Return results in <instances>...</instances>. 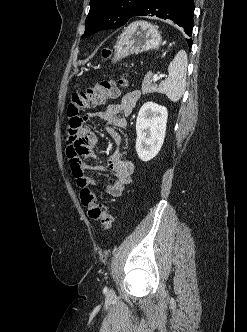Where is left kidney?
Returning a JSON list of instances; mask_svg holds the SVG:
<instances>
[{"label":"left kidney","mask_w":247,"mask_h":332,"mask_svg":"<svg viewBox=\"0 0 247 332\" xmlns=\"http://www.w3.org/2000/svg\"><path fill=\"white\" fill-rule=\"evenodd\" d=\"M167 117V108L154 102H146L141 107L136 120V152L142 161H150L160 151Z\"/></svg>","instance_id":"left-kidney-1"}]
</instances>
